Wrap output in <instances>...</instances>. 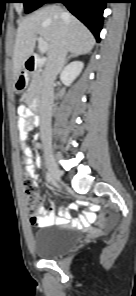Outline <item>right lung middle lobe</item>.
Listing matches in <instances>:
<instances>
[{
	"mask_svg": "<svg viewBox=\"0 0 136 296\" xmlns=\"http://www.w3.org/2000/svg\"><path fill=\"white\" fill-rule=\"evenodd\" d=\"M47 0H19L20 3L24 4L25 11L32 12L46 3Z\"/></svg>",
	"mask_w": 136,
	"mask_h": 296,
	"instance_id": "right-lung-middle-lobe-1",
	"label": "right lung middle lobe"
}]
</instances>
